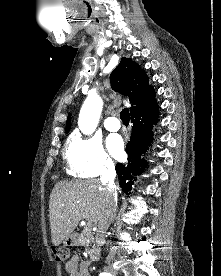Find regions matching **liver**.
<instances>
[{"instance_id":"6515ba94","label":"liver","mask_w":221,"mask_h":276,"mask_svg":"<svg viewBox=\"0 0 221 276\" xmlns=\"http://www.w3.org/2000/svg\"><path fill=\"white\" fill-rule=\"evenodd\" d=\"M106 203L107 190L98 179L57 183L49 200L52 243L58 246L83 219L98 222Z\"/></svg>"}]
</instances>
